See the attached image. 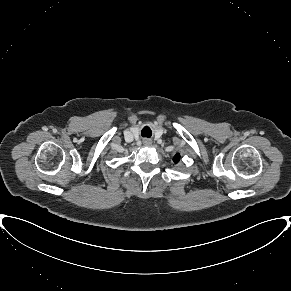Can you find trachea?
I'll return each instance as SVG.
<instances>
[{"mask_svg": "<svg viewBox=\"0 0 291 291\" xmlns=\"http://www.w3.org/2000/svg\"><path fill=\"white\" fill-rule=\"evenodd\" d=\"M141 135L143 137H150L151 136V130L148 127L143 128Z\"/></svg>", "mask_w": 291, "mask_h": 291, "instance_id": "obj_1", "label": "trachea"}]
</instances>
